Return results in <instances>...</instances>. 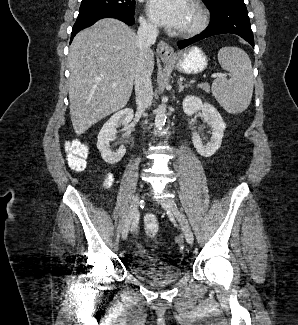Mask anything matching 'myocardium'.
Masks as SVG:
<instances>
[{
	"instance_id": "f54148a6",
	"label": "myocardium",
	"mask_w": 298,
	"mask_h": 325,
	"mask_svg": "<svg viewBox=\"0 0 298 325\" xmlns=\"http://www.w3.org/2000/svg\"><path fill=\"white\" fill-rule=\"evenodd\" d=\"M187 4L190 6L191 10L195 15V22L194 24L183 31H175L174 34L177 36H191L201 32L204 27L206 26V16L200 6L194 0H188ZM150 72V68L147 70Z\"/></svg>"
}]
</instances>
